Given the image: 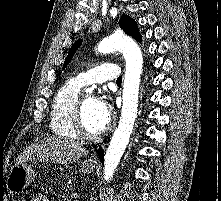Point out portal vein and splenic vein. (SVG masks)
<instances>
[{"label":"portal vein and splenic vein","instance_id":"18ae733b","mask_svg":"<svg viewBox=\"0 0 221 201\" xmlns=\"http://www.w3.org/2000/svg\"><path fill=\"white\" fill-rule=\"evenodd\" d=\"M71 196H72L73 198H79V195H78L77 193H75V192L71 193Z\"/></svg>","mask_w":221,"mask_h":201}]
</instances>
